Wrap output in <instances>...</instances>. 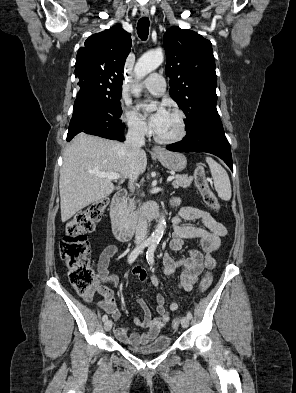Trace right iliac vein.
Segmentation results:
<instances>
[{
    "instance_id": "63e3f726",
    "label": "right iliac vein",
    "mask_w": 296,
    "mask_h": 393,
    "mask_svg": "<svg viewBox=\"0 0 296 393\" xmlns=\"http://www.w3.org/2000/svg\"><path fill=\"white\" fill-rule=\"evenodd\" d=\"M111 328H112V321H111V320L105 321V323H104V329H105L106 331H109Z\"/></svg>"
}]
</instances>
